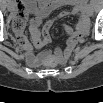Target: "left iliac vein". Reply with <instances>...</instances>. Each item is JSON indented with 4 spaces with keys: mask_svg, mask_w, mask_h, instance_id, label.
Instances as JSON below:
<instances>
[{
    "mask_svg": "<svg viewBox=\"0 0 103 103\" xmlns=\"http://www.w3.org/2000/svg\"><path fill=\"white\" fill-rule=\"evenodd\" d=\"M89 13H91V14H92V10H91V9L89 10Z\"/></svg>",
    "mask_w": 103,
    "mask_h": 103,
    "instance_id": "obj_1",
    "label": "left iliac vein"
}]
</instances>
